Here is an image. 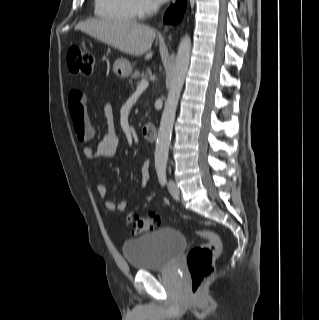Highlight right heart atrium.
I'll list each match as a JSON object with an SVG mask.
<instances>
[{
	"label": "right heart atrium",
	"mask_w": 319,
	"mask_h": 320,
	"mask_svg": "<svg viewBox=\"0 0 319 320\" xmlns=\"http://www.w3.org/2000/svg\"><path fill=\"white\" fill-rule=\"evenodd\" d=\"M135 14L138 17H146L157 9L155 0H132Z\"/></svg>",
	"instance_id": "d8ad5b80"
}]
</instances>
